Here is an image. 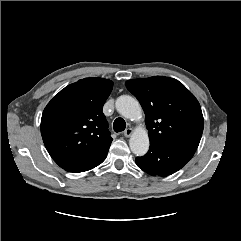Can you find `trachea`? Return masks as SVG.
<instances>
[{"mask_svg": "<svg viewBox=\"0 0 241 241\" xmlns=\"http://www.w3.org/2000/svg\"><path fill=\"white\" fill-rule=\"evenodd\" d=\"M113 128L115 132H122L126 128V122L123 118H117L115 119L113 123Z\"/></svg>", "mask_w": 241, "mask_h": 241, "instance_id": "1", "label": "trachea"}]
</instances>
